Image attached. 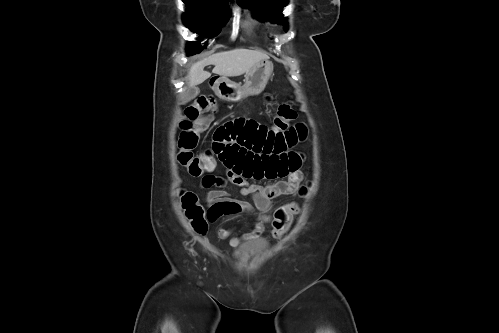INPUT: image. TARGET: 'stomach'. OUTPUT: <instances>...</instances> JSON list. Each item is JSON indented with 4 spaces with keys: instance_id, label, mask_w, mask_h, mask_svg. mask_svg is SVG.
I'll return each mask as SVG.
<instances>
[{
    "instance_id": "0dacf381",
    "label": "stomach",
    "mask_w": 499,
    "mask_h": 333,
    "mask_svg": "<svg viewBox=\"0 0 499 333\" xmlns=\"http://www.w3.org/2000/svg\"><path fill=\"white\" fill-rule=\"evenodd\" d=\"M272 72V62L260 61L246 73L243 85L230 81L226 77H220L215 81L213 90L223 100L238 102L248 96L259 95L265 89Z\"/></svg>"
}]
</instances>
